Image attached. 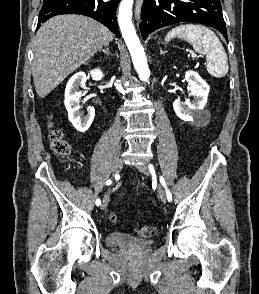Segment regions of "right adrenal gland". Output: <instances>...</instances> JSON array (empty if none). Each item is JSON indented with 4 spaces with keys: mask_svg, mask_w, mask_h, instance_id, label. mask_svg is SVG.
<instances>
[{
    "mask_svg": "<svg viewBox=\"0 0 259 294\" xmlns=\"http://www.w3.org/2000/svg\"><path fill=\"white\" fill-rule=\"evenodd\" d=\"M109 45H106L104 47V49L100 50L99 52H104L107 56L110 55V51H109V48H108Z\"/></svg>",
    "mask_w": 259,
    "mask_h": 294,
    "instance_id": "1",
    "label": "right adrenal gland"
}]
</instances>
